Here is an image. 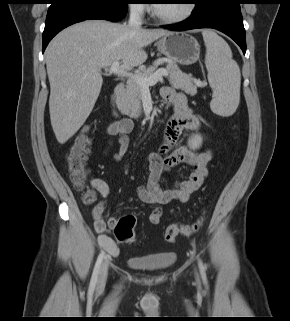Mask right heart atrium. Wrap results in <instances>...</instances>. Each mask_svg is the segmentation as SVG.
<instances>
[{"instance_id":"right-heart-atrium-1","label":"right heart atrium","mask_w":290,"mask_h":321,"mask_svg":"<svg viewBox=\"0 0 290 321\" xmlns=\"http://www.w3.org/2000/svg\"><path fill=\"white\" fill-rule=\"evenodd\" d=\"M129 10L136 16H143L147 11L145 0H132Z\"/></svg>"}]
</instances>
